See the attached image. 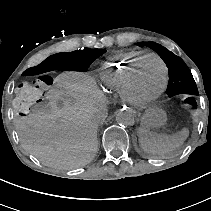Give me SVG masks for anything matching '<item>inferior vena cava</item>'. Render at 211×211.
<instances>
[{
    "instance_id": "602c4592",
    "label": "inferior vena cava",
    "mask_w": 211,
    "mask_h": 211,
    "mask_svg": "<svg viewBox=\"0 0 211 211\" xmlns=\"http://www.w3.org/2000/svg\"><path fill=\"white\" fill-rule=\"evenodd\" d=\"M106 116V109L102 108L100 109V118H104Z\"/></svg>"
}]
</instances>
